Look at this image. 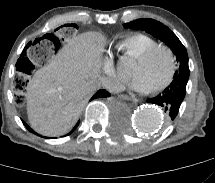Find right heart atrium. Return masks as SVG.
Wrapping results in <instances>:
<instances>
[{"label": "right heart atrium", "mask_w": 215, "mask_h": 183, "mask_svg": "<svg viewBox=\"0 0 215 183\" xmlns=\"http://www.w3.org/2000/svg\"><path fill=\"white\" fill-rule=\"evenodd\" d=\"M103 67L105 72L113 79V83L111 84V88L114 89L120 82V77L117 73L116 64L112 57L106 56L103 61Z\"/></svg>", "instance_id": "obj_1"}]
</instances>
